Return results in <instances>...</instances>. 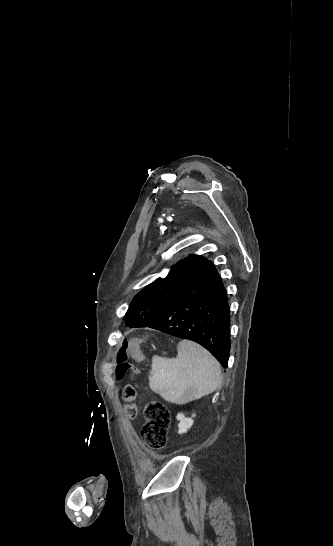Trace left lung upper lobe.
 I'll list each match as a JSON object with an SVG mask.
<instances>
[{"label": "left lung upper lobe", "mask_w": 333, "mask_h": 546, "mask_svg": "<svg viewBox=\"0 0 333 546\" xmlns=\"http://www.w3.org/2000/svg\"><path fill=\"white\" fill-rule=\"evenodd\" d=\"M207 262L201 256L191 255L174 265L166 278L157 279L133 298L124 320L135 317L139 326L150 325L163 308L190 287Z\"/></svg>", "instance_id": "obj_1"}]
</instances>
